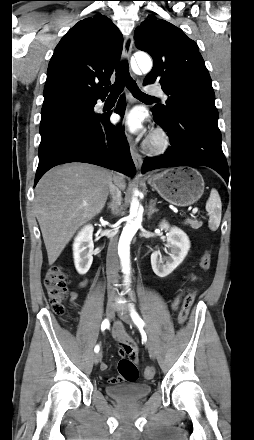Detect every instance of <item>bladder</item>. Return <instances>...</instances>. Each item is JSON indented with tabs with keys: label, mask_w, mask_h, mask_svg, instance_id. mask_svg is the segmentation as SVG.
<instances>
[{
	"label": "bladder",
	"mask_w": 254,
	"mask_h": 440,
	"mask_svg": "<svg viewBox=\"0 0 254 440\" xmlns=\"http://www.w3.org/2000/svg\"><path fill=\"white\" fill-rule=\"evenodd\" d=\"M151 391V385L146 383H127L106 387V393L110 397L124 402L138 401L148 396Z\"/></svg>",
	"instance_id": "obj_1"
}]
</instances>
